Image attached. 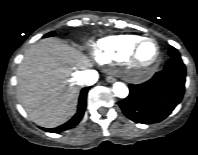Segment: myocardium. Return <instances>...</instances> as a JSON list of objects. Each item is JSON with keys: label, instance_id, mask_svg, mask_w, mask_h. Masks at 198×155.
Segmentation results:
<instances>
[{"label": "myocardium", "instance_id": "f54148a6", "mask_svg": "<svg viewBox=\"0 0 198 155\" xmlns=\"http://www.w3.org/2000/svg\"><path fill=\"white\" fill-rule=\"evenodd\" d=\"M147 42L153 43L155 45V49H156L155 55L149 61H142L139 58L138 53H139L141 46ZM130 54L132 58V61H131L132 67L138 71H146V70H150L154 68L157 65L160 59L161 51L156 40L152 38H142L135 44Z\"/></svg>", "mask_w": 198, "mask_h": 155}]
</instances>
